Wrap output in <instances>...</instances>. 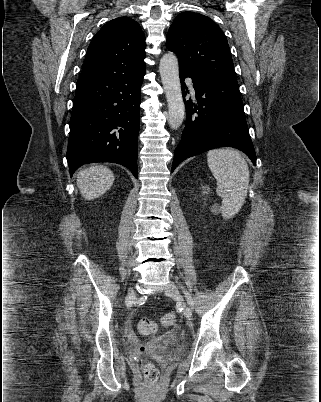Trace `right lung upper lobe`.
<instances>
[{"mask_svg":"<svg viewBox=\"0 0 321 402\" xmlns=\"http://www.w3.org/2000/svg\"><path fill=\"white\" fill-rule=\"evenodd\" d=\"M145 48L144 33L135 20L113 19L93 37L79 81L141 73L146 69Z\"/></svg>","mask_w":321,"mask_h":402,"instance_id":"obj_1","label":"right lung upper lobe"}]
</instances>
